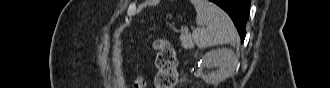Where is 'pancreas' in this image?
<instances>
[{
	"label": "pancreas",
	"instance_id": "1",
	"mask_svg": "<svg viewBox=\"0 0 330 88\" xmlns=\"http://www.w3.org/2000/svg\"><path fill=\"white\" fill-rule=\"evenodd\" d=\"M180 41L184 49H190L193 47L192 37L189 33H182L180 35Z\"/></svg>",
	"mask_w": 330,
	"mask_h": 88
}]
</instances>
